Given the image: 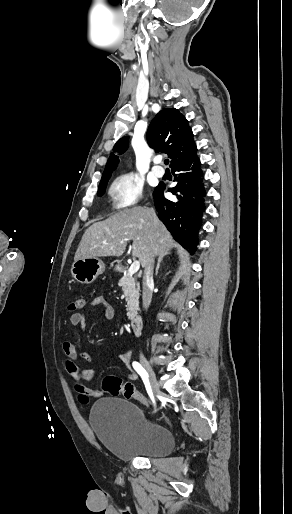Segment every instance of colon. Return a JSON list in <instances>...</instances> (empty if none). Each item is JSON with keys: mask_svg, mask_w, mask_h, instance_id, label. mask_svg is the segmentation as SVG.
Returning a JSON list of instances; mask_svg holds the SVG:
<instances>
[{"mask_svg": "<svg viewBox=\"0 0 292 514\" xmlns=\"http://www.w3.org/2000/svg\"><path fill=\"white\" fill-rule=\"evenodd\" d=\"M84 306V296L78 295L75 297L74 301L69 304L68 308L69 311H79L82 310ZM101 387L104 391L111 393L115 397L121 395L125 399H134L135 401L145 406L151 405V401L147 397L136 391L134 384H126L123 380L116 376L106 375L101 380Z\"/></svg>", "mask_w": 292, "mask_h": 514, "instance_id": "colon-1", "label": "colon"}]
</instances>
